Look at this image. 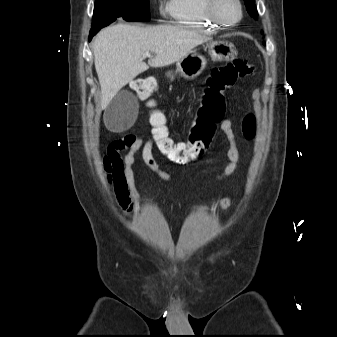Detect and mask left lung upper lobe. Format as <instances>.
Listing matches in <instances>:
<instances>
[{
    "instance_id": "1",
    "label": "left lung upper lobe",
    "mask_w": 337,
    "mask_h": 337,
    "mask_svg": "<svg viewBox=\"0 0 337 337\" xmlns=\"http://www.w3.org/2000/svg\"><path fill=\"white\" fill-rule=\"evenodd\" d=\"M248 13L254 18L257 19L258 13L255 6V0H244Z\"/></svg>"
}]
</instances>
